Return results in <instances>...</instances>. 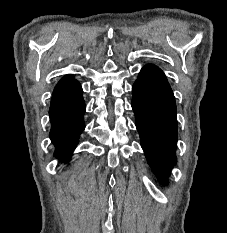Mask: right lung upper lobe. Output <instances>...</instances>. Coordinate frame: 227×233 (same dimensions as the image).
Here are the masks:
<instances>
[{
    "label": "right lung upper lobe",
    "instance_id": "1",
    "mask_svg": "<svg viewBox=\"0 0 227 233\" xmlns=\"http://www.w3.org/2000/svg\"><path fill=\"white\" fill-rule=\"evenodd\" d=\"M76 80H74L73 76L71 75H67V76H64L57 84V86L55 87L54 89V92H57L58 90L68 86L69 84L75 82Z\"/></svg>",
    "mask_w": 227,
    "mask_h": 233
}]
</instances>
